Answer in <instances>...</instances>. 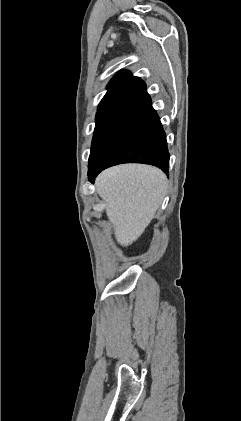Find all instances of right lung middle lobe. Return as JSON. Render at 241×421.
I'll use <instances>...</instances> for the list:
<instances>
[{"label":"right lung middle lobe","instance_id":"obj_1","mask_svg":"<svg viewBox=\"0 0 241 421\" xmlns=\"http://www.w3.org/2000/svg\"><path fill=\"white\" fill-rule=\"evenodd\" d=\"M132 105H118L99 110L96 114V126L92 140L91 153L88 167H93L113 140Z\"/></svg>","mask_w":241,"mask_h":421}]
</instances>
